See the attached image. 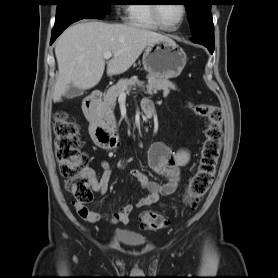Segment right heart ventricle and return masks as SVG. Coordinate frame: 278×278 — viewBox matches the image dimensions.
Here are the masks:
<instances>
[{"label": "right heart ventricle", "mask_w": 278, "mask_h": 278, "mask_svg": "<svg viewBox=\"0 0 278 278\" xmlns=\"http://www.w3.org/2000/svg\"><path fill=\"white\" fill-rule=\"evenodd\" d=\"M128 21L132 25L158 29L159 26L154 22L151 15V5L143 3H134L128 6Z\"/></svg>", "instance_id": "1"}]
</instances>
